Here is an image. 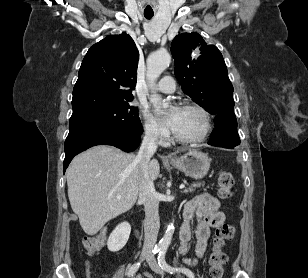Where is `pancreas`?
Returning <instances> with one entry per match:
<instances>
[{
    "label": "pancreas",
    "instance_id": "pancreas-1",
    "mask_svg": "<svg viewBox=\"0 0 308 278\" xmlns=\"http://www.w3.org/2000/svg\"><path fill=\"white\" fill-rule=\"evenodd\" d=\"M204 184H202L203 186ZM201 186V183H196V184H193L190 188L184 190L185 193H188V192H194L196 188L200 187Z\"/></svg>",
    "mask_w": 308,
    "mask_h": 278
}]
</instances>
